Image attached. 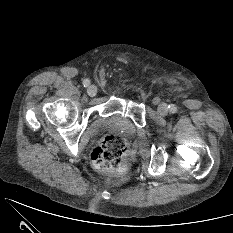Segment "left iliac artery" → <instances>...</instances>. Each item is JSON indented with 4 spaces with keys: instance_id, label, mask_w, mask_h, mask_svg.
<instances>
[{
    "instance_id": "44dca946",
    "label": "left iliac artery",
    "mask_w": 233,
    "mask_h": 233,
    "mask_svg": "<svg viewBox=\"0 0 233 233\" xmlns=\"http://www.w3.org/2000/svg\"><path fill=\"white\" fill-rule=\"evenodd\" d=\"M169 109L173 113L177 111V108H176V106L174 104L169 105Z\"/></svg>"
}]
</instances>
